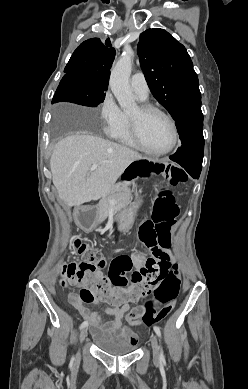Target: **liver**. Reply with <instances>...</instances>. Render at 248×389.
<instances>
[{
	"mask_svg": "<svg viewBox=\"0 0 248 389\" xmlns=\"http://www.w3.org/2000/svg\"><path fill=\"white\" fill-rule=\"evenodd\" d=\"M144 157L136 151L91 135L59 141L50 159L52 181L60 199L80 206L105 196L124 170ZM93 164L99 166L89 174Z\"/></svg>",
	"mask_w": 248,
	"mask_h": 389,
	"instance_id": "6515ba94",
	"label": "liver"
}]
</instances>
